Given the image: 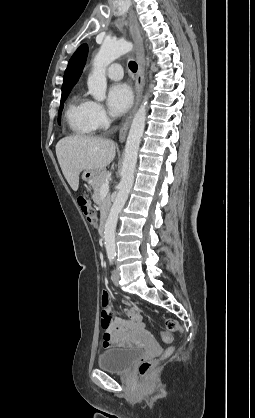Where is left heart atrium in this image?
Masks as SVG:
<instances>
[{
  "instance_id": "39dd6f15",
  "label": "left heart atrium",
  "mask_w": 255,
  "mask_h": 418,
  "mask_svg": "<svg viewBox=\"0 0 255 418\" xmlns=\"http://www.w3.org/2000/svg\"><path fill=\"white\" fill-rule=\"evenodd\" d=\"M108 107L114 116H119L128 111L133 102L132 91L124 83L113 84L108 91Z\"/></svg>"
}]
</instances>
